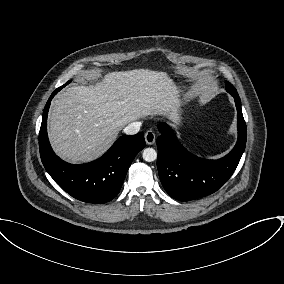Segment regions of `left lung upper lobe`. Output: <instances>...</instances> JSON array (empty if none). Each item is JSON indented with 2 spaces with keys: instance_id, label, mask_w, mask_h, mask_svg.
<instances>
[{
  "instance_id": "1",
  "label": "left lung upper lobe",
  "mask_w": 284,
  "mask_h": 284,
  "mask_svg": "<svg viewBox=\"0 0 284 284\" xmlns=\"http://www.w3.org/2000/svg\"><path fill=\"white\" fill-rule=\"evenodd\" d=\"M225 86H226L227 92L230 93L233 97H239L237 90L232 84L226 81Z\"/></svg>"
}]
</instances>
